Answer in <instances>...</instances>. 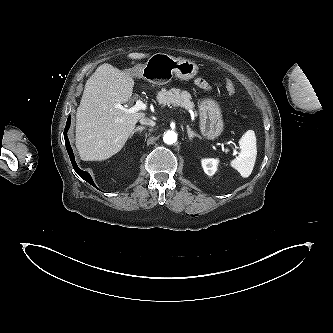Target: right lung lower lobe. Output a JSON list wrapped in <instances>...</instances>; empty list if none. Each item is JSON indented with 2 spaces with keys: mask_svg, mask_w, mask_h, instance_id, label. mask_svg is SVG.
I'll return each instance as SVG.
<instances>
[{
  "mask_svg": "<svg viewBox=\"0 0 333 333\" xmlns=\"http://www.w3.org/2000/svg\"><path fill=\"white\" fill-rule=\"evenodd\" d=\"M70 123H71V116H69L68 119H67L66 127H65V130H64V136H65L66 149H67V152L69 154L72 166H73L74 170L76 171V173L82 179H84L85 181H87L88 183H90L91 185H93L96 188V185L94 184L90 174L88 172H85V171L81 170L76 164L74 154H73V151H72V148L70 146L69 139H68V136H67V132H68V129L70 127Z\"/></svg>",
  "mask_w": 333,
  "mask_h": 333,
  "instance_id": "obj_1",
  "label": "right lung lower lobe"
}]
</instances>
